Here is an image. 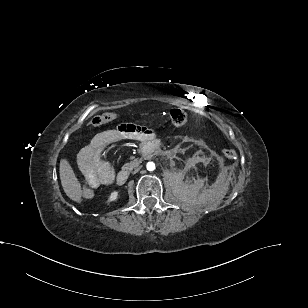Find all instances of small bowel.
<instances>
[{
    "instance_id": "small-bowel-1",
    "label": "small bowel",
    "mask_w": 308,
    "mask_h": 308,
    "mask_svg": "<svg viewBox=\"0 0 308 308\" xmlns=\"http://www.w3.org/2000/svg\"><path fill=\"white\" fill-rule=\"evenodd\" d=\"M154 139L152 129L133 123H123L96 134L78 155V165L86 183L96 188L113 181L114 169L105 158L110 145L124 140L147 142Z\"/></svg>"
}]
</instances>
